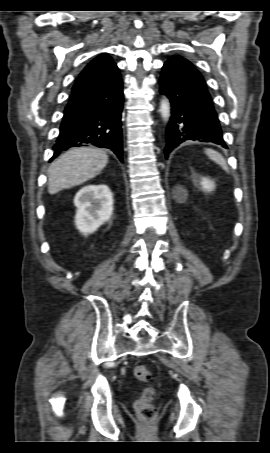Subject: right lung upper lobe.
<instances>
[{
	"label": "right lung upper lobe",
	"instance_id": "obj_1",
	"mask_svg": "<svg viewBox=\"0 0 270 453\" xmlns=\"http://www.w3.org/2000/svg\"><path fill=\"white\" fill-rule=\"evenodd\" d=\"M115 68H117V66L112 61V58L108 54L103 53L93 59L83 69L72 89L96 83L105 78Z\"/></svg>",
	"mask_w": 270,
	"mask_h": 453
}]
</instances>
